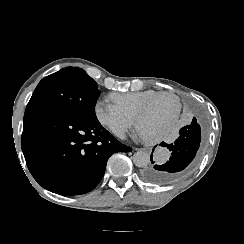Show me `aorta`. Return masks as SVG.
<instances>
[{"mask_svg": "<svg viewBox=\"0 0 244 244\" xmlns=\"http://www.w3.org/2000/svg\"><path fill=\"white\" fill-rule=\"evenodd\" d=\"M133 162L137 167H146L150 162V155L146 151H137L133 155Z\"/></svg>", "mask_w": 244, "mask_h": 244, "instance_id": "762f6f07", "label": "aorta"}]
</instances>
